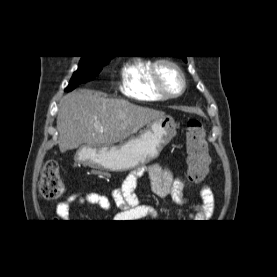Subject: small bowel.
Here are the masks:
<instances>
[{"label":"small bowel","mask_w":277,"mask_h":277,"mask_svg":"<svg viewBox=\"0 0 277 277\" xmlns=\"http://www.w3.org/2000/svg\"><path fill=\"white\" fill-rule=\"evenodd\" d=\"M147 172L152 191L160 196H169L176 204H184L187 198L183 193L184 183L180 177H174L166 165L153 164L147 169L141 168L131 172L124 180L121 188L111 191L110 197L97 192H76L69 195L55 208V219L68 220L71 205L90 204L104 211H110L114 204L120 211L116 215L123 222H136L144 218H155L157 210L149 205L141 204L135 194L139 177ZM201 202L193 205V212L189 214L192 220H205L211 217L214 209V195L211 189L204 185L200 190Z\"/></svg>","instance_id":"1"}]
</instances>
